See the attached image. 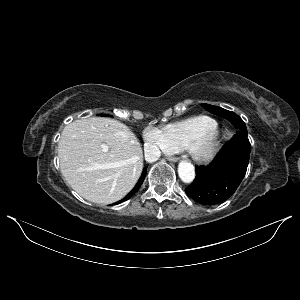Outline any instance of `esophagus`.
<instances>
[{
	"instance_id": "esophagus-1",
	"label": "esophagus",
	"mask_w": 300,
	"mask_h": 300,
	"mask_svg": "<svg viewBox=\"0 0 300 300\" xmlns=\"http://www.w3.org/2000/svg\"><path fill=\"white\" fill-rule=\"evenodd\" d=\"M168 160L171 161V162H177L178 158H176V157H169Z\"/></svg>"
}]
</instances>
